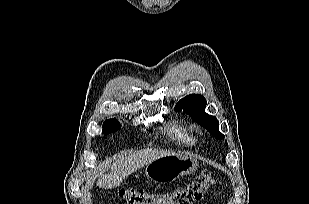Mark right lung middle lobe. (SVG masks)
<instances>
[{"label":"right lung middle lobe","instance_id":"right-lung-middle-lobe-1","mask_svg":"<svg viewBox=\"0 0 309 204\" xmlns=\"http://www.w3.org/2000/svg\"><path fill=\"white\" fill-rule=\"evenodd\" d=\"M121 128L120 123L116 119L106 120L103 124V132L104 135L109 134L113 131H116Z\"/></svg>","mask_w":309,"mask_h":204}]
</instances>
